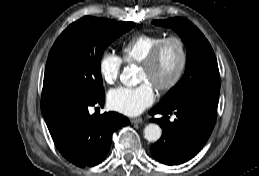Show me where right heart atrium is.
<instances>
[{"label":"right heart atrium","instance_id":"right-heart-atrium-1","mask_svg":"<svg viewBox=\"0 0 259 176\" xmlns=\"http://www.w3.org/2000/svg\"><path fill=\"white\" fill-rule=\"evenodd\" d=\"M122 69V59L112 53L105 51L101 54L98 62V72L105 84L112 85L117 82Z\"/></svg>","mask_w":259,"mask_h":176}]
</instances>
